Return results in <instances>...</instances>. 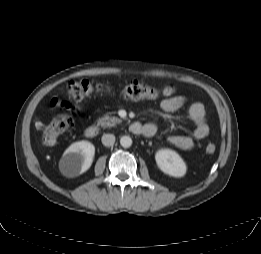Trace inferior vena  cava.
<instances>
[{"mask_svg": "<svg viewBox=\"0 0 261 254\" xmlns=\"http://www.w3.org/2000/svg\"><path fill=\"white\" fill-rule=\"evenodd\" d=\"M115 143V136L112 134H104L102 136V144L104 146L110 147L113 146Z\"/></svg>", "mask_w": 261, "mask_h": 254, "instance_id": "602c4592", "label": "inferior vena cava"}]
</instances>
